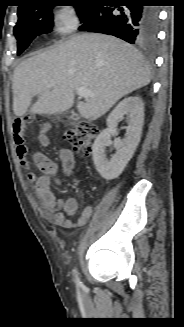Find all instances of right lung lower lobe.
Wrapping results in <instances>:
<instances>
[{
	"instance_id": "right-lung-lower-lobe-1",
	"label": "right lung lower lobe",
	"mask_w": 184,
	"mask_h": 327,
	"mask_svg": "<svg viewBox=\"0 0 184 327\" xmlns=\"http://www.w3.org/2000/svg\"><path fill=\"white\" fill-rule=\"evenodd\" d=\"M143 0H128L126 6L94 5L79 30L114 35L131 44L152 45L158 32V10L144 7Z\"/></svg>"
}]
</instances>
